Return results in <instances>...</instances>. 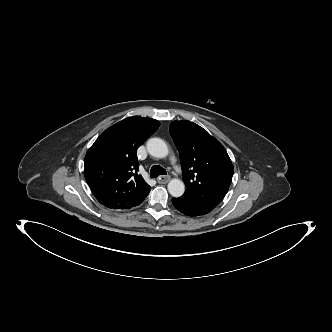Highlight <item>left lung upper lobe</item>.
<instances>
[{
  "label": "left lung upper lobe",
  "instance_id": "obj_1",
  "mask_svg": "<svg viewBox=\"0 0 332 332\" xmlns=\"http://www.w3.org/2000/svg\"><path fill=\"white\" fill-rule=\"evenodd\" d=\"M170 133L179 151L186 185L181 197L212 210L226 195L234 173L225 148L190 121H173Z\"/></svg>",
  "mask_w": 332,
  "mask_h": 332
}]
</instances>
